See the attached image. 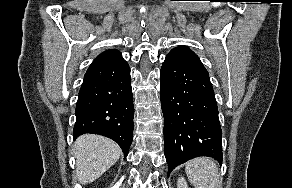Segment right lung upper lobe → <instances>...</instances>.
<instances>
[{"instance_id": "right-lung-upper-lobe-1", "label": "right lung upper lobe", "mask_w": 292, "mask_h": 188, "mask_svg": "<svg viewBox=\"0 0 292 188\" xmlns=\"http://www.w3.org/2000/svg\"><path fill=\"white\" fill-rule=\"evenodd\" d=\"M120 53L118 50H114V49H109L104 51L103 53L99 54L97 57H106V56H110L113 54H117Z\"/></svg>"}]
</instances>
